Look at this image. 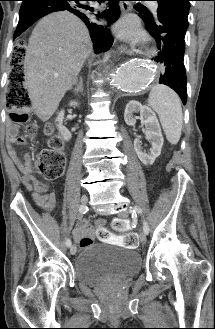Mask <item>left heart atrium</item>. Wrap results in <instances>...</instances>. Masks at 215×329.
I'll list each match as a JSON object with an SVG mask.
<instances>
[{"mask_svg": "<svg viewBox=\"0 0 215 329\" xmlns=\"http://www.w3.org/2000/svg\"><path fill=\"white\" fill-rule=\"evenodd\" d=\"M114 29L119 37L131 42H142L145 39L144 33L133 17L121 19L115 24Z\"/></svg>", "mask_w": 215, "mask_h": 329, "instance_id": "1", "label": "left heart atrium"}]
</instances>
